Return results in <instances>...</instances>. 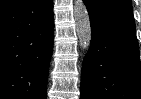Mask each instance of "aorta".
I'll return each mask as SVG.
<instances>
[{
	"instance_id": "1",
	"label": "aorta",
	"mask_w": 141,
	"mask_h": 99,
	"mask_svg": "<svg viewBox=\"0 0 141 99\" xmlns=\"http://www.w3.org/2000/svg\"><path fill=\"white\" fill-rule=\"evenodd\" d=\"M74 18L79 44L83 50H88L92 35L89 13L83 0H74Z\"/></svg>"
}]
</instances>
